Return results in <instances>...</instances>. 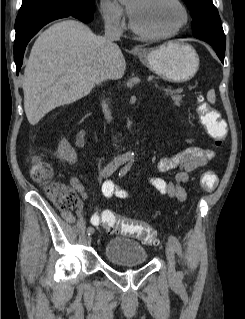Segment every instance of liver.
<instances>
[{
	"mask_svg": "<svg viewBox=\"0 0 245 319\" xmlns=\"http://www.w3.org/2000/svg\"><path fill=\"white\" fill-rule=\"evenodd\" d=\"M125 70L120 49L109 51L105 38L83 23L68 19L53 24L36 39L24 71L29 123L36 125L56 107L85 97L98 79L122 78Z\"/></svg>",
	"mask_w": 245,
	"mask_h": 319,
	"instance_id": "1",
	"label": "liver"
}]
</instances>
